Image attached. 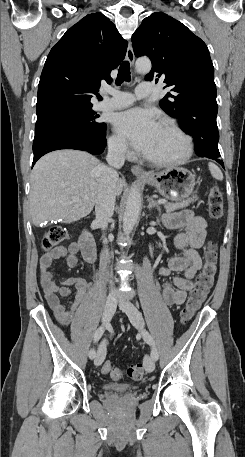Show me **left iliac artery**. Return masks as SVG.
Listing matches in <instances>:
<instances>
[{"mask_svg":"<svg viewBox=\"0 0 245 457\" xmlns=\"http://www.w3.org/2000/svg\"><path fill=\"white\" fill-rule=\"evenodd\" d=\"M143 338L144 340L146 341L147 344H149L152 348H151V357L154 359V360H157L158 359V351L155 347V342H154V339L153 337L148 333V332H144L143 333Z\"/></svg>","mask_w":245,"mask_h":457,"instance_id":"obj_1","label":"left iliac artery"}]
</instances>
